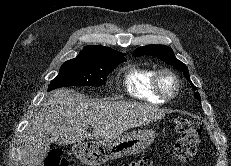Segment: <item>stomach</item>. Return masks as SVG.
Wrapping results in <instances>:
<instances>
[{
    "label": "stomach",
    "mask_w": 231,
    "mask_h": 166,
    "mask_svg": "<svg viewBox=\"0 0 231 166\" xmlns=\"http://www.w3.org/2000/svg\"><path fill=\"white\" fill-rule=\"evenodd\" d=\"M155 137L154 130L143 129L115 139L79 141L73 144L72 152L82 163L97 166L108 160L141 153L154 142Z\"/></svg>",
    "instance_id": "stomach-1"
}]
</instances>
